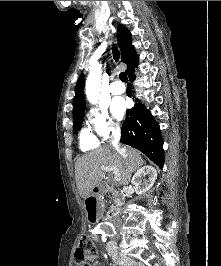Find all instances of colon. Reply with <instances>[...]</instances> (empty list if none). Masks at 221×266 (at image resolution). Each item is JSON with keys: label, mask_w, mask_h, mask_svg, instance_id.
Returning <instances> with one entry per match:
<instances>
[{"label": "colon", "mask_w": 221, "mask_h": 266, "mask_svg": "<svg viewBox=\"0 0 221 266\" xmlns=\"http://www.w3.org/2000/svg\"><path fill=\"white\" fill-rule=\"evenodd\" d=\"M97 256L95 245L88 236H83L76 250V261L80 266H90Z\"/></svg>", "instance_id": "colon-1"}]
</instances>
